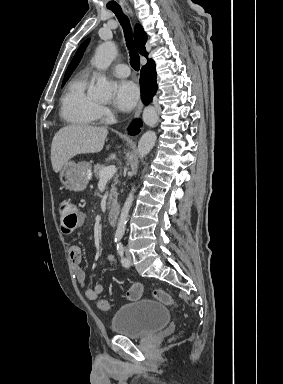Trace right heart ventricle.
I'll use <instances>...</instances> for the list:
<instances>
[{
	"label": "right heart ventricle",
	"instance_id": "right-heart-ventricle-1",
	"mask_svg": "<svg viewBox=\"0 0 283 384\" xmlns=\"http://www.w3.org/2000/svg\"><path fill=\"white\" fill-rule=\"evenodd\" d=\"M88 75L75 74L67 83L60 99V115L74 128H89L101 117L99 103L87 93Z\"/></svg>",
	"mask_w": 283,
	"mask_h": 384
}]
</instances>
